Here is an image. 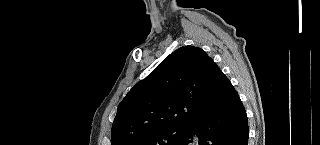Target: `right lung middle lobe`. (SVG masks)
Segmentation results:
<instances>
[{
    "mask_svg": "<svg viewBox=\"0 0 320 145\" xmlns=\"http://www.w3.org/2000/svg\"><path fill=\"white\" fill-rule=\"evenodd\" d=\"M183 134V127L161 129L140 138L131 145H176Z\"/></svg>",
    "mask_w": 320,
    "mask_h": 145,
    "instance_id": "right-lung-middle-lobe-1",
    "label": "right lung middle lobe"
}]
</instances>
